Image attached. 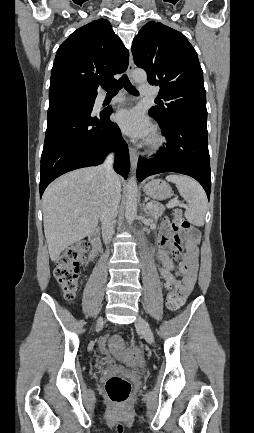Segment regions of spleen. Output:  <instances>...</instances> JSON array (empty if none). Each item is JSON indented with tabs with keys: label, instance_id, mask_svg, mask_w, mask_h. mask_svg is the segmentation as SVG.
<instances>
[{
	"label": "spleen",
	"instance_id": "spleen-1",
	"mask_svg": "<svg viewBox=\"0 0 254 433\" xmlns=\"http://www.w3.org/2000/svg\"><path fill=\"white\" fill-rule=\"evenodd\" d=\"M166 180L175 183L180 195L187 202L186 219L195 226H203L207 211V197L201 185L183 175H168Z\"/></svg>",
	"mask_w": 254,
	"mask_h": 433
}]
</instances>
